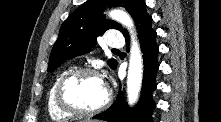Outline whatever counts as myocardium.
Returning a JSON list of instances; mask_svg holds the SVG:
<instances>
[{
	"instance_id": "myocardium-1",
	"label": "myocardium",
	"mask_w": 221,
	"mask_h": 122,
	"mask_svg": "<svg viewBox=\"0 0 221 122\" xmlns=\"http://www.w3.org/2000/svg\"><path fill=\"white\" fill-rule=\"evenodd\" d=\"M80 75H94V76H97L103 80L101 73L94 68L78 67V68L71 69L61 77V79L59 80V82L56 86V90H55L56 103L61 110H63L64 112H67L71 115H75V116L96 115L108 107V105L111 101V97H112L111 92L109 89H107L106 97H105L104 101L99 106H97L93 109H83V108L76 106L75 104L70 102L69 99L67 98L66 88L72 80H74L76 77H78Z\"/></svg>"
}]
</instances>
